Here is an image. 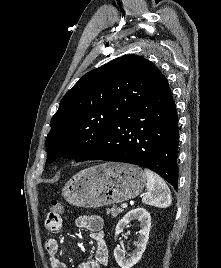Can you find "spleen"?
Listing matches in <instances>:
<instances>
[{"label": "spleen", "mask_w": 221, "mask_h": 268, "mask_svg": "<svg viewBox=\"0 0 221 268\" xmlns=\"http://www.w3.org/2000/svg\"><path fill=\"white\" fill-rule=\"evenodd\" d=\"M147 193L142 202L147 205L167 208L171 204V193L165 181L150 169H145Z\"/></svg>", "instance_id": "1"}]
</instances>
